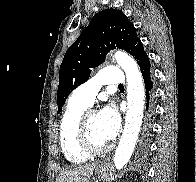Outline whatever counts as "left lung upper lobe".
Returning a JSON list of instances; mask_svg holds the SVG:
<instances>
[{
  "instance_id": "obj_1",
  "label": "left lung upper lobe",
  "mask_w": 196,
  "mask_h": 182,
  "mask_svg": "<svg viewBox=\"0 0 196 182\" xmlns=\"http://www.w3.org/2000/svg\"><path fill=\"white\" fill-rule=\"evenodd\" d=\"M116 47L130 53L137 63L147 55L136 28L123 12L106 9L93 17L64 56L59 72L58 113L68 95L89 79L91 68L104 62L107 52Z\"/></svg>"
}]
</instances>
